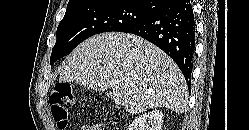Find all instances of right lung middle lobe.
<instances>
[{"label":"right lung middle lobe","instance_id":"1","mask_svg":"<svg viewBox=\"0 0 249 130\" xmlns=\"http://www.w3.org/2000/svg\"><path fill=\"white\" fill-rule=\"evenodd\" d=\"M154 11L129 0H105L67 10L57 28L50 63L68 55L87 38L103 32H120L152 16Z\"/></svg>","mask_w":249,"mask_h":130}]
</instances>
